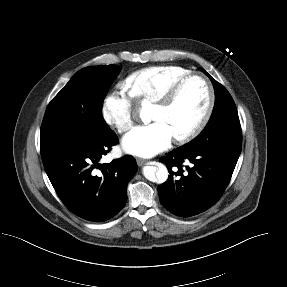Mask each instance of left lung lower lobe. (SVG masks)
Instances as JSON below:
<instances>
[{
  "label": "left lung lower lobe",
  "mask_w": 287,
  "mask_h": 287,
  "mask_svg": "<svg viewBox=\"0 0 287 287\" xmlns=\"http://www.w3.org/2000/svg\"><path fill=\"white\" fill-rule=\"evenodd\" d=\"M239 156L204 148L179 147L161 159L168 180L158 187L162 205L174 215L190 217L206 211L222 196ZM191 163L183 168V163Z\"/></svg>",
  "instance_id": "obj_1"
}]
</instances>
